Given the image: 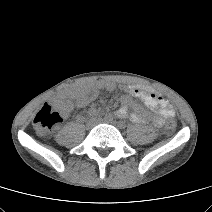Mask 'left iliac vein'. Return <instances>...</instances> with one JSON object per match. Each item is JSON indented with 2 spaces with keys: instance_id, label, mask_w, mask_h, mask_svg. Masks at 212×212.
I'll return each mask as SVG.
<instances>
[{
  "instance_id": "4c4485c4",
  "label": "left iliac vein",
  "mask_w": 212,
  "mask_h": 212,
  "mask_svg": "<svg viewBox=\"0 0 212 212\" xmlns=\"http://www.w3.org/2000/svg\"><path fill=\"white\" fill-rule=\"evenodd\" d=\"M101 123H107V124H111V125H116L114 121L109 120V119H103L100 121Z\"/></svg>"
}]
</instances>
